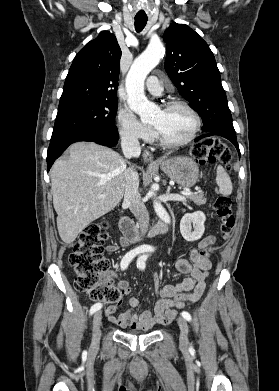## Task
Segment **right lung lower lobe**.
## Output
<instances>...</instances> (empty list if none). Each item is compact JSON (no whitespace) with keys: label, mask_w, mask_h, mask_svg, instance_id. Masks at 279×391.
I'll return each mask as SVG.
<instances>
[{"label":"right lung lower lobe","mask_w":279,"mask_h":391,"mask_svg":"<svg viewBox=\"0 0 279 391\" xmlns=\"http://www.w3.org/2000/svg\"><path fill=\"white\" fill-rule=\"evenodd\" d=\"M76 141H93L112 147L118 142V131L115 125H102L51 137L47 153L48 171L63 151Z\"/></svg>","instance_id":"right-lung-lower-lobe-1"}]
</instances>
